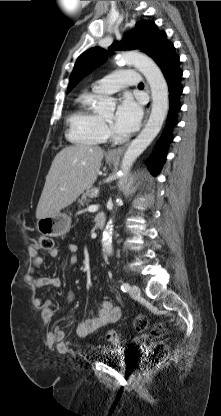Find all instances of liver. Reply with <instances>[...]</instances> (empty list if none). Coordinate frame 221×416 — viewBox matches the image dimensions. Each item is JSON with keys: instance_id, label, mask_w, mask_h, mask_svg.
<instances>
[{"instance_id": "1", "label": "liver", "mask_w": 221, "mask_h": 416, "mask_svg": "<svg viewBox=\"0 0 221 416\" xmlns=\"http://www.w3.org/2000/svg\"><path fill=\"white\" fill-rule=\"evenodd\" d=\"M104 151L98 146L76 144L56 154L46 176L36 218L59 213L71 205L96 180Z\"/></svg>"}]
</instances>
